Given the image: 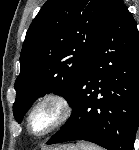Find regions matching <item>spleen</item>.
I'll return each mask as SVG.
<instances>
[{"label": "spleen", "mask_w": 139, "mask_h": 150, "mask_svg": "<svg viewBox=\"0 0 139 150\" xmlns=\"http://www.w3.org/2000/svg\"><path fill=\"white\" fill-rule=\"evenodd\" d=\"M77 147L79 150H102L99 146H95L93 144H88V143H80L77 144Z\"/></svg>", "instance_id": "1"}]
</instances>
